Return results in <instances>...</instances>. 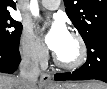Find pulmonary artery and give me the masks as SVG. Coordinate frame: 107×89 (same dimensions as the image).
<instances>
[{
  "mask_svg": "<svg viewBox=\"0 0 107 89\" xmlns=\"http://www.w3.org/2000/svg\"><path fill=\"white\" fill-rule=\"evenodd\" d=\"M41 4L46 9L55 10L59 7L60 0H42Z\"/></svg>",
  "mask_w": 107,
  "mask_h": 89,
  "instance_id": "obj_1",
  "label": "pulmonary artery"
}]
</instances>
